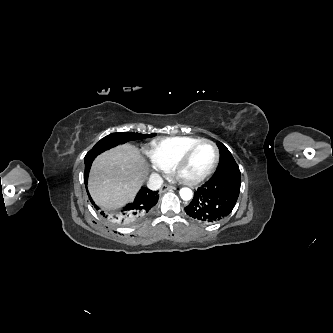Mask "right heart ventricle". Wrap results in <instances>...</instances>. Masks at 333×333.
Instances as JSON below:
<instances>
[{
  "instance_id": "obj_1",
  "label": "right heart ventricle",
  "mask_w": 333,
  "mask_h": 333,
  "mask_svg": "<svg viewBox=\"0 0 333 333\" xmlns=\"http://www.w3.org/2000/svg\"><path fill=\"white\" fill-rule=\"evenodd\" d=\"M199 140L201 138L191 136L166 137L152 143V152L170 170L180 155Z\"/></svg>"
}]
</instances>
